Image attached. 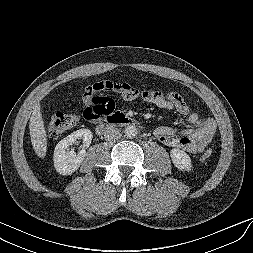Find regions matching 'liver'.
Here are the masks:
<instances>
[{
	"instance_id": "liver-1",
	"label": "liver",
	"mask_w": 253,
	"mask_h": 253,
	"mask_svg": "<svg viewBox=\"0 0 253 253\" xmlns=\"http://www.w3.org/2000/svg\"><path fill=\"white\" fill-rule=\"evenodd\" d=\"M31 143L35 153L40 158H44L47 153V134L41 114L40 105H36L29 122Z\"/></svg>"
}]
</instances>
